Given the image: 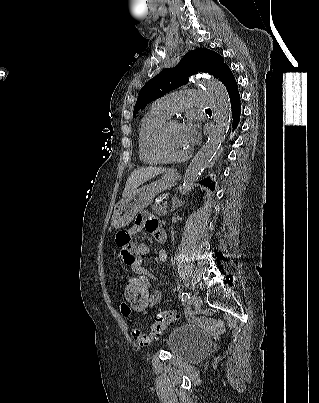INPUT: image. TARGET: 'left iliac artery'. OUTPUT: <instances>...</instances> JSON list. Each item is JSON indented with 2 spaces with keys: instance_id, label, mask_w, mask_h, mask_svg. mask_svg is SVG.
Returning a JSON list of instances; mask_svg holds the SVG:
<instances>
[{
  "instance_id": "left-iliac-artery-1",
  "label": "left iliac artery",
  "mask_w": 319,
  "mask_h": 403,
  "mask_svg": "<svg viewBox=\"0 0 319 403\" xmlns=\"http://www.w3.org/2000/svg\"><path fill=\"white\" fill-rule=\"evenodd\" d=\"M181 298H182V301L185 303L190 302V296L187 292H183Z\"/></svg>"
}]
</instances>
